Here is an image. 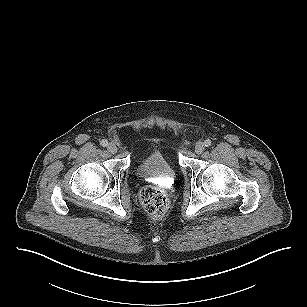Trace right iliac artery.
Segmentation results:
<instances>
[{"instance_id":"right-iliac-artery-1","label":"right iliac artery","mask_w":307,"mask_h":307,"mask_svg":"<svg viewBox=\"0 0 307 307\" xmlns=\"http://www.w3.org/2000/svg\"><path fill=\"white\" fill-rule=\"evenodd\" d=\"M103 147H106L108 145V141L107 140H102L100 143Z\"/></svg>"}]
</instances>
